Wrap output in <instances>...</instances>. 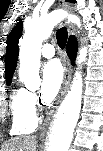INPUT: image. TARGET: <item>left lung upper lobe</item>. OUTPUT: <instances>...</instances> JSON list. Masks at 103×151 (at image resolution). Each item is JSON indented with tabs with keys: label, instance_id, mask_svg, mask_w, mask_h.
I'll return each mask as SVG.
<instances>
[{
	"label": "left lung upper lobe",
	"instance_id": "1",
	"mask_svg": "<svg viewBox=\"0 0 103 151\" xmlns=\"http://www.w3.org/2000/svg\"><path fill=\"white\" fill-rule=\"evenodd\" d=\"M70 2H73V3H75V0H69Z\"/></svg>",
	"mask_w": 103,
	"mask_h": 151
}]
</instances>
